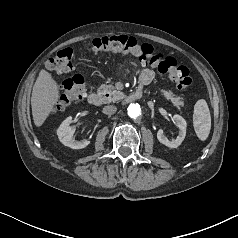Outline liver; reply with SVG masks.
<instances>
[{
    "label": "liver",
    "mask_w": 238,
    "mask_h": 238,
    "mask_svg": "<svg viewBox=\"0 0 238 238\" xmlns=\"http://www.w3.org/2000/svg\"><path fill=\"white\" fill-rule=\"evenodd\" d=\"M59 85L51 74L42 69L33 86L31 107L34 124L42 126L60 97Z\"/></svg>",
    "instance_id": "6515ba94"
}]
</instances>
